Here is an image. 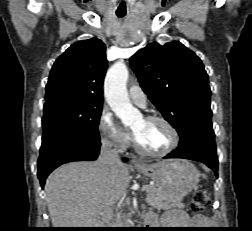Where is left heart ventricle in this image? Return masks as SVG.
<instances>
[{
    "instance_id": "1",
    "label": "left heart ventricle",
    "mask_w": 252,
    "mask_h": 231,
    "mask_svg": "<svg viewBox=\"0 0 252 231\" xmlns=\"http://www.w3.org/2000/svg\"><path fill=\"white\" fill-rule=\"evenodd\" d=\"M139 143L150 151H163L172 142L169 129L159 121H146L140 118L131 126Z\"/></svg>"
}]
</instances>
